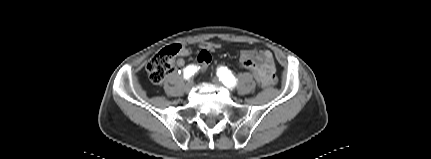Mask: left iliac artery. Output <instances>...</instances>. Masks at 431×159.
<instances>
[{
  "instance_id": "obj_1",
  "label": "left iliac artery",
  "mask_w": 431,
  "mask_h": 159,
  "mask_svg": "<svg viewBox=\"0 0 431 159\" xmlns=\"http://www.w3.org/2000/svg\"><path fill=\"white\" fill-rule=\"evenodd\" d=\"M217 76L222 83L228 88H234L236 86V78L233 76L230 70L227 67L221 66L217 70Z\"/></svg>"
}]
</instances>
